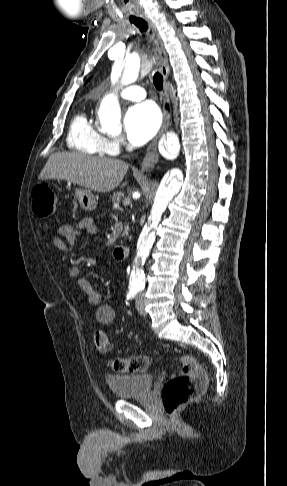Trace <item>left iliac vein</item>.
<instances>
[{"label":"left iliac vein","mask_w":287,"mask_h":486,"mask_svg":"<svg viewBox=\"0 0 287 486\" xmlns=\"http://www.w3.org/2000/svg\"><path fill=\"white\" fill-rule=\"evenodd\" d=\"M135 305H136V309H137V311L140 315H142V316L147 315V312L145 311V297L142 293H140L136 297Z\"/></svg>","instance_id":"left-iliac-vein-1"}]
</instances>
